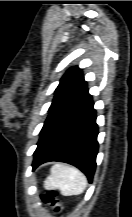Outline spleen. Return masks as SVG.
Returning a JSON list of instances; mask_svg holds the SVG:
<instances>
[{
	"mask_svg": "<svg viewBox=\"0 0 132 217\" xmlns=\"http://www.w3.org/2000/svg\"><path fill=\"white\" fill-rule=\"evenodd\" d=\"M87 185L86 176L73 166L55 164L45 181L48 190L59 189L64 196L81 194Z\"/></svg>",
	"mask_w": 132,
	"mask_h": 217,
	"instance_id": "1",
	"label": "spleen"
}]
</instances>
